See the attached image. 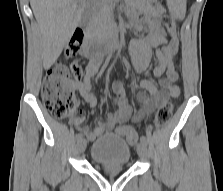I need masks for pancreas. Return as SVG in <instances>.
Wrapping results in <instances>:
<instances>
[{
  "label": "pancreas",
  "mask_w": 223,
  "mask_h": 191,
  "mask_svg": "<svg viewBox=\"0 0 223 191\" xmlns=\"http://www.w3.org/2000/svg\"><path fill=\"white\" fill-rule=\"evenodd\" d=\"M116 1L96 0V3L90 8V24L97 33L108 30L111 25Z\"/></svg>",
  "instance_id": "obj_1"
}]
</instances>
